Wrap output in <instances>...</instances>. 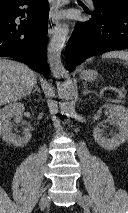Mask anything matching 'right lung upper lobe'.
Returning <instances> with one entry per match:
<instances>
[{
  "instance_id": "cb5924a9",
  "label": "right lung upper lobe",
  "mask_w": 128,
  "mask_h": 213,
  "mask_svg": "<svg viewBox=\"0 0 128 213\" xmlns=\"http://www.w3.org/2000/svg\"><path fill=\"white\" fill-rule=\"evenodd\" d=\"M11 1H14V0H0V3H3V2H11Z\"/></svg>"
}]
</instances>
